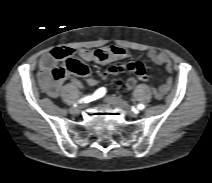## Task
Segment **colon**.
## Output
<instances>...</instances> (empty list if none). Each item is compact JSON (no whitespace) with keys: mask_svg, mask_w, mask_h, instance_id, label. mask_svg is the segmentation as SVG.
Here are the masks:
<instances>
[{"mask_svg":"<svg viewBox=\"0 0 212 183\" xmlns=\"http://www.w3.org/2000/svg\"><path fill=\"white\" fill-rule=\"evenodd\" d=\"M52 52L58 60H63L61 65L54 67L51 71V78L53 81L60 82L68 74L85 76L88 73V68L78 60L70 58L64 48H56ZM136 83V79L130 78L124 84V88L131 91Z\"/></svg>","mask_w":212,"mask_h":183,"instance_id":"obj_1","label":"colon"}]
</instances>
